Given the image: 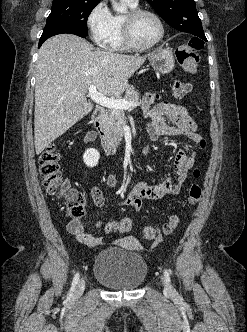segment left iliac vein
<instances>
[{"label": "left iliac vein", "instance_id": "4c4485c4", "mask_svg": "<svg viewBox=\"0 0 247 332\" xmlns=\"http://www.w3.org/2000/svg\"><path fill=\"white\" fill-rule=\"evenodd\" d=\"M161 282H162V285L164 287V290L165 292L168 294V295H174L175 294V289L172 287V285L167 282L163 277H161Z\"/></svg>", "mask_w": 247, "mask_h": 332}]
</instances>
